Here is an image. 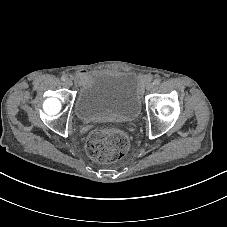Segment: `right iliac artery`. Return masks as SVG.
Listing matches in <instances>:
<instances>
[{"instance_id":"right-iliac-artery-1","label":"right iliac artery","mask_w":227,"mask_h":227,"mask_svg":"<svg viewBox=\"0 0 227 227\" xmlns=\"http://www.w3.org/2000/svg\"><path fill=\"white\" fill-rule=\"evenodd\" d=\"M61 80H62V81H66V77H65V76H62V77H61Z\"/></svg>"}]
</instances>
